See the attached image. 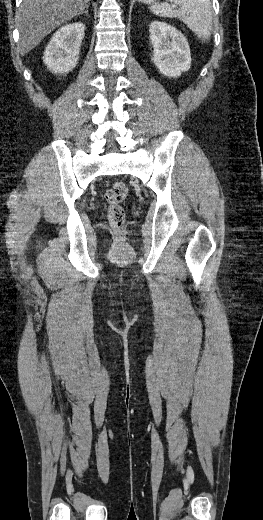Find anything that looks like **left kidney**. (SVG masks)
<instances>
[{
    "mask_svg": "<svg viewBox=\"0 0 263 520\" xmlns=\"http://www.w3.org/2000/svg\"><path fill=\"white\" fill-rule=\"evenodd\" d=\"M149 32L153 45L152 60L163 75L176 78L190 69V48L180 31L165 22L153 21Z\"/></svg>",
    "mask_w": 263,
    "mask_h": 520,
    "instance_id": "obj_1",
    "label": "left kidney"
}]
</instances>
